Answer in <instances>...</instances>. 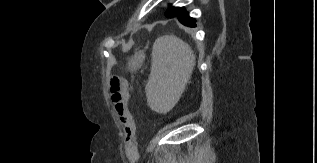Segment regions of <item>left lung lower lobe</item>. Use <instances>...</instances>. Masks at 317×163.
Returning a JSON list of instances; mask_svg holds the SVG:
<instances>
[{"instance_id": "1", "label": "left lung lower lobe", "mask_w": 317, "mask_h": 163, "mask_svg": "<svg viewBox=\"0 0 317 163\" xmlns=\"http://www.w3.org/2000/svg\"><path fill=\"white\" fill-rule=\"evenodd\" d=\"M175 16L185 26H189V27L196 26L194 18L189 17L188 13L184 10V8H180L179 11L175 15L170 17H175Z\"/></svg>"}]
</instances>
